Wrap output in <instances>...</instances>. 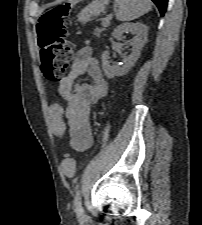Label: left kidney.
I'll use <instances>...</instances> for the list:
<instances>
[{
    "label": "left kidney",
    "mask_w": 202,
    "mask_h": 225,
    "mask_svg": "<svg viewBox=\"0 0 202 225\" xmlns=\"http://www.w3.org/2000/svg\"><path fill=\"white\" fill-rule=\"evenodd\" d=\"M129 32L134 33L136 36L129 42L132 46V53L124 57L122 63L111 65L109 52L105 51L102 54V68L108 78L125 75L140 57L141 50L147 40L148 27L139 22L123 23L114 29L112 36L120 40L124 33Z\"/></svg>",
    "instance_id": "obj_1"
}]
</instances>
